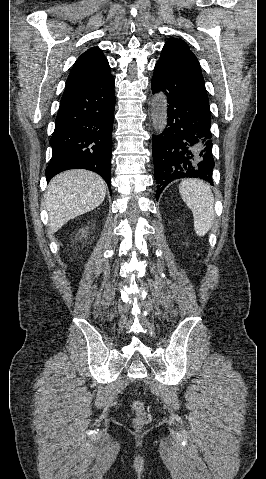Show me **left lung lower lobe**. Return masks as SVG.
Returning a JSON list of instances; mask_svg holds the SVG:
<instances>
[{
	"label": "left lung lower lobe",
	"mask_w": 266,
	"mask_h": 479,
	"mask_svg": "<svg viewBox=\"0 0 266 479\" xmlns=\"http://www.w3.org/2000/svg\"><path fill=\"white\" fill-rule=\"evenodd\" d=\"M151 88L153 93L165 92L168 100V128L152 137L156 200L169 183L179 178H201L213 185L215 163L205 87L157 62Z\"/></svg>",
	"instance_id": "left-lung-lower-lobe-1"
}]
</instances>
